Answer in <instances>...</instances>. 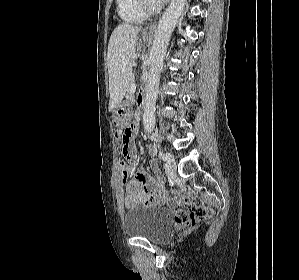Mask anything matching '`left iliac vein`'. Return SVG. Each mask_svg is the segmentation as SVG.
Here are the masks:
<instances>
[{"label": "left iliac vein", "instance_id": "4c4485c4", "mask_svg": "<svg viewBox=\"0 0 299 280\" xmlns=\"http://www.w3.org/2000/svg\"><path fill=\"white\" fill-rule=\"evenodd\" d=\"M164 169H165L166 174L169 177H173L176 175L177 167H176V163H175L174 159L172 158V156L170 157L169 160H167L165 162Z\"/></svg>", "mask_w": 299, "mask_h": 280}]
</instances>
